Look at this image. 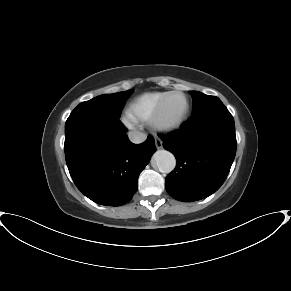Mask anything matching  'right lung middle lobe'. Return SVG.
<instances>
[{"mask_svg": "<svg viewBox=\"0 0 291 291\" xmlns=\"http://www.w3.org/2000/svg\"><path fill=\"white\" fill-rule=\"evenodd\" d=\"M132 92L133 89H130L128 91L95 97L77 105L71 114L79 112L95 113L119 119L125 101Z\"/></svg>", "mask_w": 291, "mask_h": 291, "instance_id": "1", "label": "right lung middle lobe"}]
</instances>
